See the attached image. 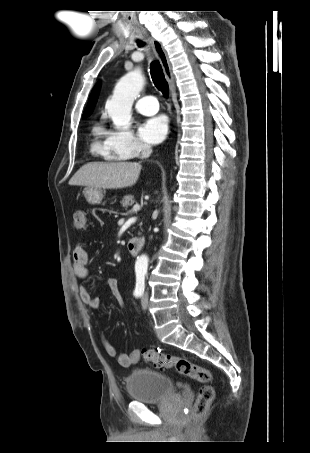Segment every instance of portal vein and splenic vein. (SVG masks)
Masks as SVG:
<instances>
[{
  "instance_id": "1",
  "label": "portal vein and splenic vein",
  "mask_w": 310,
  "mask_h": 453,
  "mask_svg": "<svg viewBox=\"0 0 310 453\" xmlns=\"http://www.w3.org/2000/svg\"><path fill=\"white\" fill-rule=\"evenodd\" d=\"M140 208H141V206L139 204H135L132 208V212H137L140 210Z\"/></svg>"
}]
</instances>
